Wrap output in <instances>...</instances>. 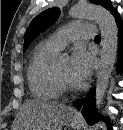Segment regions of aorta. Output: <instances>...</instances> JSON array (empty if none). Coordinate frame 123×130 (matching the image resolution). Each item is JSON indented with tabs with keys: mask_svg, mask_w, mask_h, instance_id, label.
<instances>
[{
	"mask_svg": "<svg viewBox=\"0 0 123 130\" xmlns=\"http://www.w3.org/2000/svg\"><path fill=\"white\" fill-rule=\"evenodd\" d=\"M73 18L95 20L101 30L102 54L100 69L96 81V108L100 111L114 64L118 48V29L112 14L105 8L97 5L80 2L69 11Z\"/></svg>",
	"mask_w": 123,
	"mask_h": 130,
	"instance_id": "obj_1",
	"label": "aorta"
}]
</instances>
